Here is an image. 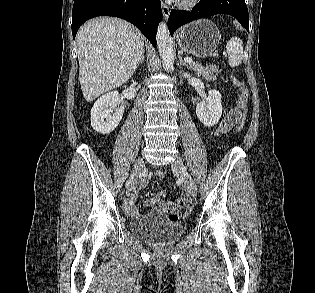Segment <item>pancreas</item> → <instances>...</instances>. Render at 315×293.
I'll use <instances>...</instances> for the list:
<instances>
[{"mask_svg":"<svg viewBox=\"0 0 315 293\" xmlns=\"http://www.w3.org/2000/svg\"><path fill=\"white\" fill-rule=\"evenodd\" d=\"M190 68L195 70L198 76L202 75L206 80H209V81L216 80V77L218 73L220 72L219 68L215 65H209V66L204 67L200 64H195V65L191 64Z\"/></svg>","mask_w":315,"mask_h":293,"instance_id":"obj_1","label":"pancreas"}]
</instances>
